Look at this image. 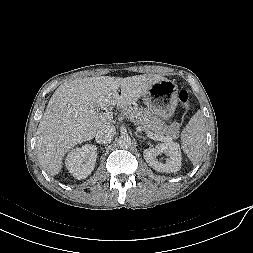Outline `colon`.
Instances as JSON below:
<instances>
[{
  "instance_id": "5ec220e1",
  "label": "colon",
  "mask_w": 253,
  "mask_h": 253,
  "mask_svg": "<svg viewBox=\"0 0 253 253\" xmlns=\"http://www.w3.org/2000/svg\"><path fill=\"white\" fill-rule=\"evenodd\" d=\"M178 100L183 108H189L190 101H189V95L186 90H181L178 94Z\"/></svg>"
}]
</instances>
